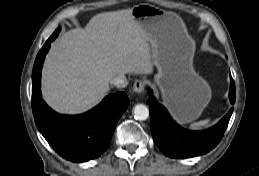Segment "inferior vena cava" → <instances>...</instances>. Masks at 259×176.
<instances>
[{
    "label": "inferior vena cava",
    "instance_id": "inferior-vena-cava-1",
    "mask_svg": "<svg viewBox=\"0 0 259 176\" xmlns=\"http://www.w3.org/2000/svg\"><path fill=\"white\" fill-rule=\"evenodd\" d=\"M111 85L117 87V88H125L128 84L127 78L124 74H120L110 81Z\"/></svg>",
    "mask_w": 259,
    "mask_h": 176
}]
</instances>
